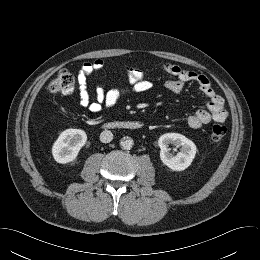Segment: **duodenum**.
I'll list each match as a JSON object with an SVG mask.
<instances>
[{
	"label": "duodenum",
	"instance_id": "duodenum-1",
	"mask_svg": "<svg viewBox=\"0 0 260 260\" xmlns=\"http://www.w3.org/2000/svg\"><path fill=\"white\" fill-rule=\"evenodd\" d=\"M144 124L140 121H112L104 124L106 129H129V130H141Z\"/></svg>",
	"mask_w": 260,
	"mask_h": 260
}]
</instances>
